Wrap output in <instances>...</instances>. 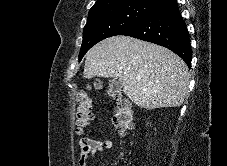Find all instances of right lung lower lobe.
Here are the masks:
<instances>
[{"label": "right lung lower lobe", "mask_w": 227, "mask_h": 166, "mask_svg": "<svg viewBox=\"0 0 227 166\" xmlns=\"http://www.w3.org/2000/svg\"><path fill=\"white\" fill-rule=\"evenodd\" d=\"M118 35L130 36L166 47L180 56L189 68L191 66L189 34L176 0H166Z\"/></svg>", "instance_id": "1"}]
</instances>
